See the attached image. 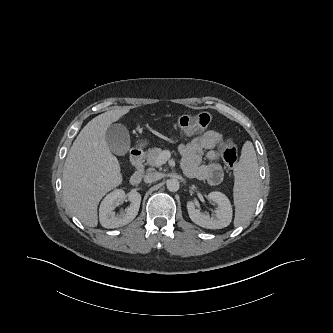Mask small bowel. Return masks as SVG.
I'll use <instances>...</instances> for the list:
<instances>
[{
	"instance_id": "small-bowel-1",
	"label": "small bowel",
	"mask_w": 333,
	"mask_h": 333,
	"mask_svg": "<svg viewBox=\"0 0 333 333\" xmlns=\"http://www.w3.org/2000/svg\"><path fill=\"white\" fill-rule=\"evenodd\" d=\"M222 139L215 130H208L182 143L179 150L182 154V168L192 178L203 180L210 185H217L223 179V170L219 164V155L214 147ZM206 151L207 164L203 163Z\"/></svg>"
}]
</instances>
